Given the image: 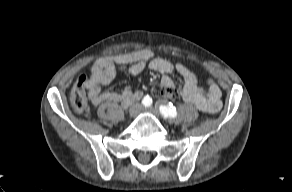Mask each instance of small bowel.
I'll list each match as a JSON object with an SVG mask.
<instances>
[{
	"label": "small bowel",
	"instance_id": "obj_1",
	"mask_svg": "<svg viewBox=\"0 0 292 192\" xmlns=\"http://www.w3.org/2000/svg\"><path fill=\"white\" fill-rule=\"evenodd\" d=\"M147 68L163 74L162 86L171 89L175 96L183 101L194 104L201 112L212 114L220 110L221 90L217 83L210 79L207 82V89H201L197 76L187 66L174 65L166 59L155 57L150 49L123 53L101 60L86 82L92 104L98 106L102 102H115L127 107L142 96L140 91H133L130 86H127L118 93L103 91L102 87H107L112 83L117 70L137 75ZM171 74H177L183 79L184 83L179 89L174 86L169 76Z\"/></svg>",
	"mask_w": 292,
	"mask_h": 192
}]
</instances>
